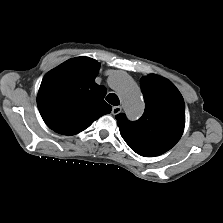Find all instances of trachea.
Masks as SVG:
<instances>
[{
	"label": "trachea",
	"instance_id": "trachea-1",
	"mask_svg": "<svg viewBox=\"0 0 223 223\" xmlns=\"http://www.w3.org/2000/svg\"><path fill=\"white\" fill-rule=\"evenodd\" d=\"M106 101L108 103H110L111 105H115V106L120 104L118 96L116 94H113V93L112 94L110 93V94L107 95Z\"/></svg>",
	"mask_w": 223,
	"mask_h": 223
}]
</instances>
